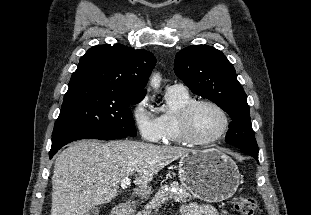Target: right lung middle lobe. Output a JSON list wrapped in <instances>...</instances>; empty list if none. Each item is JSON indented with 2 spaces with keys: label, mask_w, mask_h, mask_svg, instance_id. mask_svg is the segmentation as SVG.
Masks as SVG:
<instances>
[{
  "label": "right lung middle lobe",
  "mask_w": 311,
  "mask_h": 215,
  "mask_svg": "<svg viewBox=\"0 0 311 215\" xmlns=\"http://www.w3.org/2000/svg\"><path fill=\"white\" fill-rule=\"evenodd\" d=\"M145 95L95 86L69 87L53 130L52 141L83 134L136 136L130 110Z\"/></svg>",
  "instance_id": "right-lung-middle-lobe-1"
}]
</instances>
